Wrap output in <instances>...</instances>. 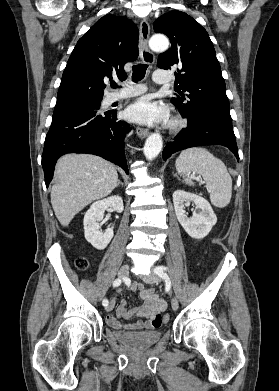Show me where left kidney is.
<instances>
[{"instance_id": "left-kidney-1", "label": "left kidney", "mask_w": 279, "mask_h": 391, "mask_svg": "<svg viewBox=\"0 0 279 391\" xmlns=\"http://www.w3.org/2000/svg\"><path fill=\"white\" fill-rule=\"evenodd\" d=\"M194 202L199 212H194L191 218L185 214V203ZM173 203L177 219L187 234L195 239H203L209 234L217 222V217L210 203L203 197L176 190L173 193Z\"/></svg>"}]
</instances>
